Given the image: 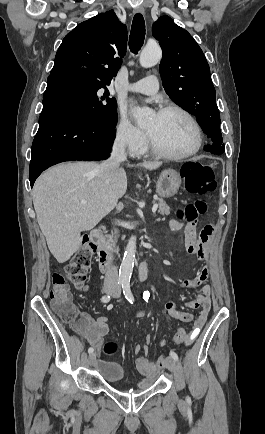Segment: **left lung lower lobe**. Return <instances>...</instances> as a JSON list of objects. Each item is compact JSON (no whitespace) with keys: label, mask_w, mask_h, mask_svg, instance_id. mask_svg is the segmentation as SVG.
I'll return each instance as SVG.
<instances>
[{"label":"left lung lower lobe","mask_w":265,"mask_h":434,"mask_svg":"<svg viewBox=\"0 0 265 434\" xmlns=\"http://www.w3.org/2000/svg\"><path fill=\"white\" fill-rule=\"evenodd\" d=\"M205 150L210 151L213 154H217V155H220L224 152V149H218V148H215V147L210 146V145L205 146Z\"/></svg>","instance_id":"0a47b994"}]
</instances>
